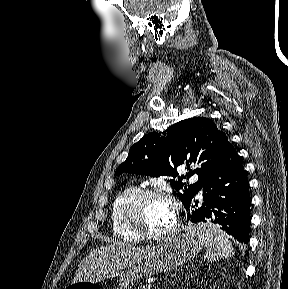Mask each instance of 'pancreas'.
Returning a JSON list of instances; mask_svg holds the SVG:
<instances>
[{
	"mask_svg": "<svg viewBox=\"0 0 288 289\" xmlns=\"http://www.w3.org/2000/svg\"><path fill=\"white\" fill-rule=\"evenodd\" d=\"M137 289H151V287L149 285H144V286L138 287Z\"/></svg>",
	"mask_w": 288,
	"mask_h": 289,
	"instance_id": "1",
	"label": "pancreas"
}]
</instances>
